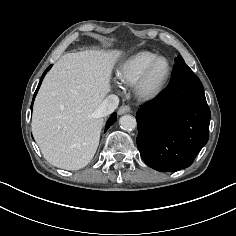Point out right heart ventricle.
<instances>
[{
	"mask_svg": "<svg viewBox=\"0 0 236 236\" xmlns=\"http://www.w3.org/2000/svg\"><path fill=\"white\" fill-rule=\"evenodd\" d=\"M158 54L142 50L128 57L118 68L117 76L125 84H133L144 70L156 59Z\"/></svg>",
	"mask_w": 236,
	"mask_h": 236,
	"instance_id": "obj_1",
	"label": "right heart ventricle"
}]
</instances>
